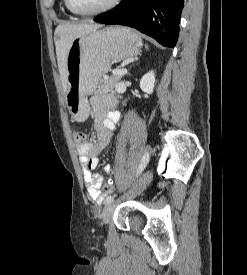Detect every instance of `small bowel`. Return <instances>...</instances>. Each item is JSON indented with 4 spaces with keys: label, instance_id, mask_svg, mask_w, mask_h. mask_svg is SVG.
<instances>
[{
    "label": "small bowel",
    "instance_id": "c3829d8e",
    "mask_svg": "<svg viewBox=\"0 0 247 275\" xmlns=\"http://www.w3.org/2000/svg\"><path fill=\"white\" fill-rule=\"evenodd\" d=\"M116 104L109 95H97L91 99L97 137L94 142H85L77 147L89 197L96 202H101L105 194L101 191L102 176L93 171L99 164L98 154L109 144L112 132L121 119L120 113L114 110ZM109 170L110 165H106L104 171Z\"/></svg>",
    "mask_w": 247,
    "mask_h": 275
}]
</instances>
